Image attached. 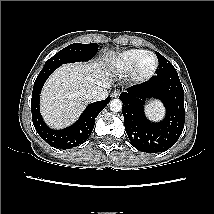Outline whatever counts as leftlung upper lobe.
I'll list each match as a JSON object with an SVG mask.
<instances>
[{
  "mask_svg": "<svg viewBox=\"0 0 214 214\" xmlns=\"http://www.w3.org/2000/svg\"><path fill=\"white\" fill-rule=\"evenodd\" d=\"M158 61H159V68L157 74H165V73H177L174 66L160 53L156 52Z\"/></svg>",
  "mask_w": 214,
  "mask_h": 214,
  "instance_id": "left-lung-upper-lobe-1",
  "label": "left lung upper lobe"
}]
</instances>
